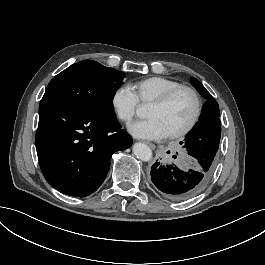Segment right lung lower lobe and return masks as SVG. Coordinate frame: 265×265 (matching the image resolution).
Instances as JSON below:
<instances>
[{"mask_svg": "<svg viewBox=\"0 0 265 265\" xmlns=\"http://www.w3.org/2000/svg\"><path fill=\"white\" fill-rule=\"evenodd\" d=\"M36 149L41 171L61 193L85 197L104 181L111 155L132 145L116 119L40 102Z\"/></svg>", "mask_w": 265, "mask_h": 265, "instance_id": "98d812e1", "label": "right lung lower lobe"}]
</instances>
